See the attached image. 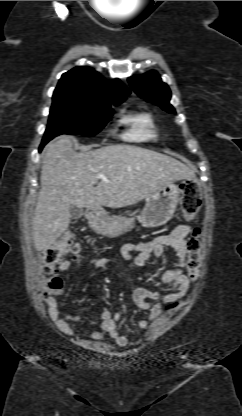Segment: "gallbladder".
Returning a JSON list of instances; mask_svg holds the SVG:
<instances>
[{
	"label": "gallbladder",
	"instance_id": "obj_1",
	"mask_svg": "<svg viewBox=\"0 0 242 416\" xmlns=\"http://www.w3.org/2000/svg\"><path fill=\"white\" fill-rule=\"evenodd\" d=\"M69 213L72 219H79L84 214V210L75 205H71L69 208Z\"/></svg>",
	"mask_w": 242,
	"mask_h": 416
}]
</instances>
